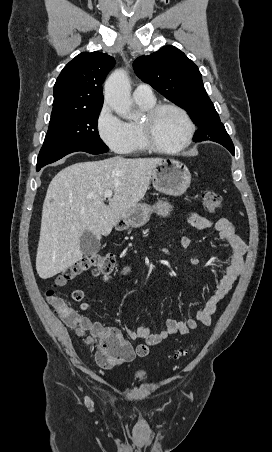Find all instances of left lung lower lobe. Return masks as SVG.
<instances>
[{
    "instance_id": "obj_1",
    "label": "left lung lower lobe",
    "mask_w": 272,
    "mask_h": 452,
    "mask_svg": "<svg viewBox=\"0 0 272 452\" xmlns=\"http://www.w3.org/2000/svg\"><path fill=\"white\" fill-rule=\"evenodd\" d=\"M217 143H219V144L223 145L225 148H227L232 155L235 154L234 146H233L232 140L230 138L226 139V140H220Z\"/></svg>"
}]
</instances>
